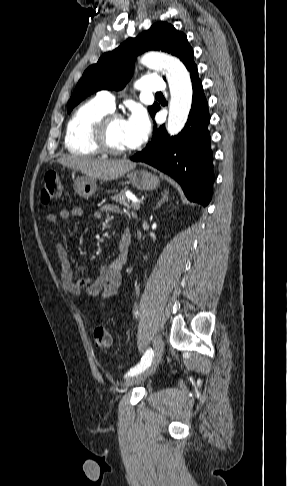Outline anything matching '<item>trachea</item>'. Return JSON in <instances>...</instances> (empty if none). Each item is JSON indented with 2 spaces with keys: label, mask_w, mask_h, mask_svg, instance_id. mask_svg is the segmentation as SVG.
<instances>
[{
  "label": "trachea",
  "mask_w": 287,
  "mask_h": 486,
  "mask_svg": "<svg viewBox=\"0 0 287 486\" xmlns=\"http://www.w3.org/2000/svg\"><path fill=\"white\" fill-rule=\"evenodd\" d=\"M156 96H163V94L160 92V93H156Z\"/></svg>",
  "instance_id": "1"
}]
</instances>
